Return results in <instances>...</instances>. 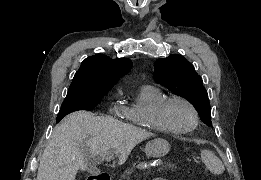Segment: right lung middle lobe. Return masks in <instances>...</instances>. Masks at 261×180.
<instances>
[{
	"instance_id": "right-lung-middle-lobe-1",
	"label": "right lung middle lobe",
	"mask_w": 261,
	"mask_h": 180,
	"mask_svg": "<svg viewBox=\"0 0 261 180\" xmlns=\"http://www.w3.org/2000/svg\"><path fill=\"white\" fill-rule=\"evenodd\" d=\"M106 93L68 91L67 96L62 103L56 122L65 117L67 114L79 110H92Z\"/></svg>"
}]
</instances>
